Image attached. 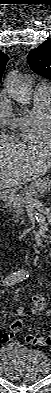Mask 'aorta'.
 <instances>
[{
	"label": "aorta",
	"mask_w": 51,
	"mask_h": 393,
	"mask_svg": "<svg viewBox=\"0 0 51 393\" xmlns=\"http://www.w3.org/2000/svg\"><path fill=\"white\" fill-rule=\"evenodd\" d=\"M8 89L13 98L21 105H28L31 100L30 85L19 79L17 76H11L8 79Z\"/></svg>",
	"instance_id": "aorta-1"
}]
</instances>
